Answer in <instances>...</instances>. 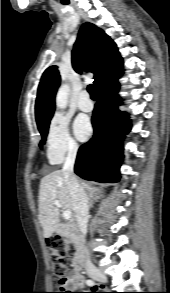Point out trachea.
<instances>
[{
    "label": "trachea",
    "mask_w": 170,
    "mask_h": 293,
    "mask_svg": "<svg viewBox=\"0 0 170 293\" xmlns=\"http://www.w3.org/2000/svg\"><path fill=\"white\" fill-rule=\"evenodd\" d=\"M87 91L90 93V96L92 99L96 98V92H95V88L92 84L87 86Z\"/></svg>",
    "instance_id": "3493384b"
}]
</instances>
